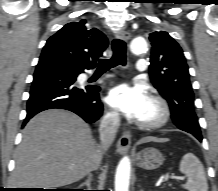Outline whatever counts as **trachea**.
I'll use <instances>...</instances> for the list:
<instances>
[{
    "mask_svg": "<svg viewBox=\"0 0 218 191\" xmlns=\"http://www.w3.org/2000/svg\"><path fill=\"white\" fill-rule=\"evenodd\" d=\"M113 56L110 59H100L98 72H105L117 65H126V44L123 40L114 39L112 42Z\"/></svg>",
    "mask_w": 218,
    "mask_h": 191,
    "instance_id": "obj_1",
    "label": "trachea"
}]
</instances>
